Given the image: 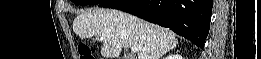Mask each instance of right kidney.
I'll list each match as a JSON object with an SVG mask.
<instances>
[{
    "instance_id": "obj_1",
    "label": "right kidney",
    "mask_w": 261,
    "mask_h": 59,
    "mask_svg": "<svg viewBox=\"0 0 261 59\" xmlns=\"http://www.w3.org/2000/svg\"><path fill=\"white\" fill-rule=\"evenodd\" d=\"M168 59H182V56H180L179 54L171 55L168 57Z\"/></svg>"
}]
</instances>
